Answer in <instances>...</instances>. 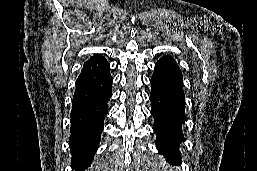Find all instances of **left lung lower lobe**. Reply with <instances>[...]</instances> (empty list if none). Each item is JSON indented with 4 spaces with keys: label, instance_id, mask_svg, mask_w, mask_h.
<instances>
[{
    "label": "left lung lower lobe",
    "instance_id": "obj_1",
    "mask_svg": "<svg viewBox=\"0 0 257 171\" xmlns=\"http://www.w3.org/2000/svg\"><path fill=\"white\" fill-rule=\"evenodd\" d=\"M151 113L153 130L157 134L156 146L172 164H181L180 142L183 140L181 126L186 119L185 95L182 73L171 56H164L155 64L151 78Z\"/></svg>",
    "mask_w": 257,
    "mask_h": 171
}]
</instances>
